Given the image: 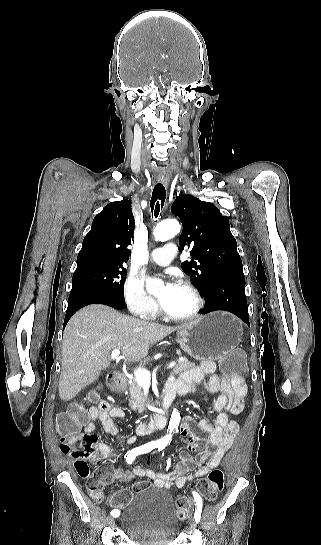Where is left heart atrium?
<instances>
[{"instance_id": "39dd6f15", "label": "left heart atrium", "mask_w": 321, "mask_h": 545, "mask_svg": "<svg viewBox=\"0 0 321 545\" xmlns=\"http://www.w3.org/2000/svg\"><path fill=\"white\" fill-rule=\"evenodd\" d=\"M178 287L179 285L174 279H168L165 282L164 293L160 301V305L162 308H165L168 305V303L176 293Z\"/></svg>"}]
</instances>
